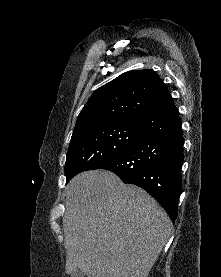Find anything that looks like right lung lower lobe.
<instances>
[{
	"label": "right lung lower lobe",
	"mask_w": 221,
	"mask_h": 277,
	"mask_svg": "<svg viewBox=\"0 0 221 277\" xmlns=\"http://www.w3.org/2000/svg\"><path fill=\"white\" fill-rule=\"evenodd\" d=\"M137 122L138 134L128 151L101 169L115 173L124 183L143 188L162 205L174 222L184 160L177 108L171 99Z\"/></svg>",
	"instance_id": "right-lung-lower-lobe-1"
}]
</instances>
